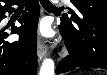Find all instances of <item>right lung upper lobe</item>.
Here are the masks:
<instances>
[{"label":"right lung upper lobe","instance_id":"obj_1","mask_svg":"<svg viewBox=\"0 0 107 75\" xmlns=\"http://www.w3.org/2000/svg\"><path fill=\"white\" fill-rule=\"evenodd\" d=\"M8 1H10V0H4V1H1V2H4V3H6V2H8ZM2 5L0 4V7H1Z\"/></svg>","mask_w":107,"mask_h":75}]
</instances>
